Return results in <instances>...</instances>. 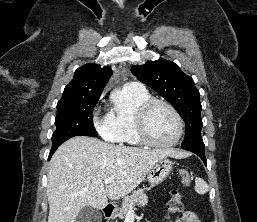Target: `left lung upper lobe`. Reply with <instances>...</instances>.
I'll use <instances>...</instances> for the list:
<instances>
[{
    "label": "left lung upper lobe",
    "mask_w": 257,
    "mask_h": 222,
    "mask_svg": "<svg viewBox=\"0 0 257 222\" xmlns=\"http://www.w3.org/2000/svg\"><path fill=\"white\" fill-rule=\"evenodd\" d=\"M131 72L171 103L186 124L183 149L204 150L201 137L202 119L199 91L193 79L184 74L172 61L159 59L144 65H135Z\"/></svg>",
    "instance_id": "1"
}]
</instances>
